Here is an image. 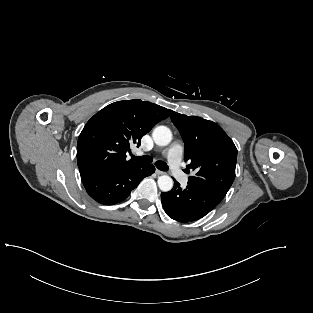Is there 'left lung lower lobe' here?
<instances>
[{"instance_id": "0a47b994", "label": "left lung lower lobe", "mask_w": 313, "mask_h": 313, "mask_svg": "<svg viewBox=\"0 0 313 313\" xmlns=\"http://www.w3.org/2000/svg\"><path fill=\"white\" fill-rule=\"evenodd\" d=\"M222 198L188 184L185 189L175 181L169 192L161 193V202L167 215L179 222L198 220L213 210Z\"/></svg>"}]
</instances>
